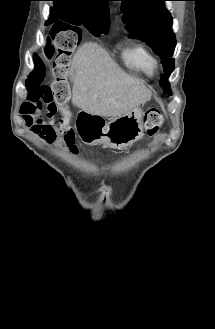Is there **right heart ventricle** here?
<instances>
[{
    "label": "right heart ventricle",
    "mask_w": 215,
    "mask_h": 329,
    "mask_svg": "<svg viewBox=\"0 0 215 329\" xmlns=\"http://www.w3.org/2000/svg\"><path fill=\"white\" fill-rule=\"evenodd\" d=\"M124 65L133 72H141L153 77L158 70V60L154 53L144 44L135 43L122 52Z\"/></svg>",
    "instance_id": "e07e8e85"
}]
</instances>
